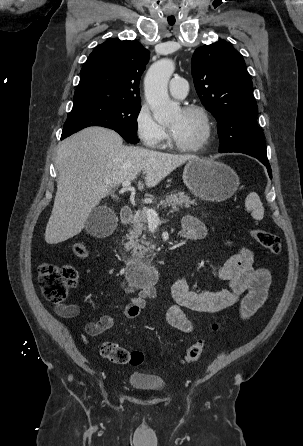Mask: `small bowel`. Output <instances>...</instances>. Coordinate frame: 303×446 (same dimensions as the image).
I'll use <instances>...</instances> for the list:
<instances>
[{"instance_id": "1", "label": "small bowel", "mask_w": 303, "mask_h": 446, "mask_svg": "<svg viewBox=\"0 0 303 446\" xmlns=\"http://www.w3.org/2000/svg\"><path fill=\"white\" fill-rule=\"evenodd\" d=\"M182 235L189 240H202L207 235V228L199 219L188 215L182 220ZM216 276L228 286L217 291H198L191 287L185 277L173 283L171 294L174 304L166 312L172 327L191 333L194 326L186 315L187 310L216 313L233 305H238L241 318L247 319L266 300L271 282L270 272L254 265L253 253L247 248H241L234 255L219 262L216 265ZM125 293L129 295V299L124 314L129 319L139 317L147 301L158 297L153 285L128 287ZM56 312L63 318H75L79 316L81 309L77 304H58ZM113 325V317L103 315L96 321L87 322L85 331L90 336H97L111 329ZM81 340L86 342L84 336H81Z\"/></svg>"}]
</instances>
